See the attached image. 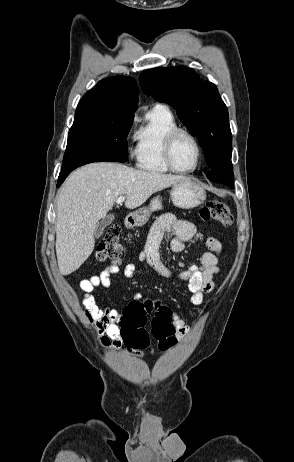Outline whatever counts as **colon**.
I'll list each match as a JSON object with an SVG mask.
<instances>
[{"instance_id": "colon-1", "label": "colon", "mask_w": 294, "mask_h": 462, "mask_svg": "<svg viewBox=\"0 0 294 462\" xmlns=\"http://www.w3.org/2000/svg\"><path fill=\"white\" fill-rule=\"evenodd\" d=\"M199 216L203 221H213L222 227L230 226L233 221L228 206L217 200L207 202L201 208ZM120 237V227L110 226L97 246V259L120 261L122 255ZM149 315H151V335L158 340L160 348L167 349L173 346L176 337L171 318L172 311L159 303L150 301L143 303L137 300L126 306L121 314L119 326L125 344L133 349H144L149 345L150 334L145 330Z\"/></svg>"}]
</instances>
